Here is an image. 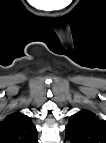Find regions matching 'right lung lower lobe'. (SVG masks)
<instances>
[{
  "mask_svg": "<svg viewBox=\"0 0 106 143\" xmlns=\"http://www.w3.org/2000/svg\"><path fill=\"white\" fill-rule=\"evenodd\" d=\"M33 143H38V139L35 142H33Z\"/></svg>",
  "mask_w": 106,
  "mask_h": 143,
  "instance_id": "obj_1",
  "label": "right lung lower lobe"
}]
</instances>
